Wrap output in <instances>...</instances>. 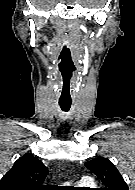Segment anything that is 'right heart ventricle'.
Returning <instances> with one entry per match:
<instances>
[{
	"instance_id": "right-heart-ventricle-1",
	"label": "right heart ventricle",
	"mask_w": 135,
	"mask_h": 190,
	"mask_svg": "<svg viewBox=\"0 0 135 190\" xmlns=\"http://www.w3.org/2000/svg\"><path fill=\"white\" fill-rule=\"evenodd\" d=\"M93 183L90 181H85V182H79L78 183V187H88V186H92Z\"/></svg>"
}]
</instances>
